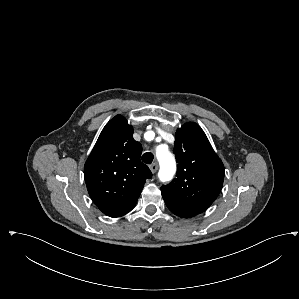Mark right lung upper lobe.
<instances>
[{
    "instance_id": "obj_1",
    "label": "right lung upper lobe",
    "mask_w": 299,
    "mask_h": 299,
    "mask_svg": "<svg viewBox=\"0 0 299 299\" xmlns=\"http://www.w3.org/2000/svg\"><path fill=\"white\" fill-rule=\"evenodd\" d=\"M132 135L127 120L115 116L102 130L84 167L89 195L113 218L134 208L146 179L152 177L148 166L140 161L142 146Z\"/></svg>"
}]
</instances>
